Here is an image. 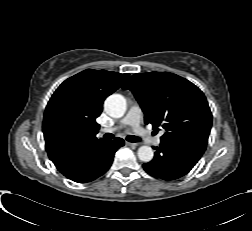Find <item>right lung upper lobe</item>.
Wrapping results in <instances>:
<instances>
[{
  "label": "right lung upper lobe",
  "instance_id": "1",
  "mask_svg": "<svg viewBox=\"0 0 252 231\" xmlns=\"http://www.w3.org/2000/svg\"><path fill=\"white\" fill-rule=\"evenodd\" d=\"M129 74L85 70L65 80L54 92L45 110L43 133L50 160L66 177L73 175L82 153L104 142L97 139L107 96L116 91Z\"/></svg>",
  "mask_w": 252,
  "mask_h": 231
}]
</instances>
